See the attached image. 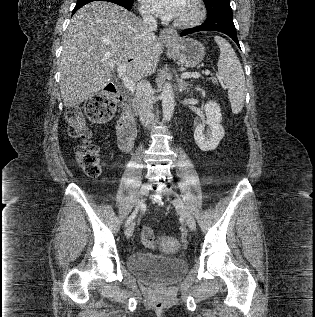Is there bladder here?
Listing matches in <instances>:
<instances>
[{
  "mask_svg": "<svg viewBox=\"0 0 315 317\" xmlns=\"http://www.w3.org/2000/svg\"><path fill=\"white\" fill-rule=\"evenodd\" d=\"M127 268L146 283L168 285L180 279L186 273L188 265L181 258L136 252L128 256Z\"/></svg>",
  "mask_w": 315,
  "mask_h": 317,
  "instance_id": "1",
  "label": "bladder"
}]
</instances>
